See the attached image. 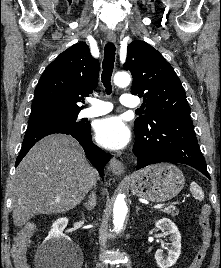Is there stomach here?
<instances>
[{
  "mask_svg": "<svg viewBox=\"0 0 221 268\" xmlns=\"http://www.w3.org/2000/svg\"><path fill=\"white\" fill-rule=\"evenodd\" d=\"M129 180L133 194L154 202L172 199L185 184L182 171L169 163L146 167L134 173Z\"/></svg>",
  "mask_w": 221,
  "mask_h": 268,
  "instance_id": "obj_1",
  "label": "stomach"
}]
</instances>
